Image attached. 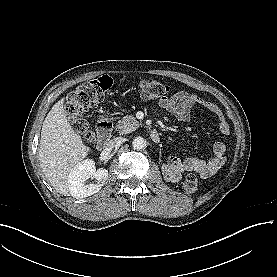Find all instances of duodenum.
Listing matches in <instances>:
<instances>
[{
    "label": "duodenum",
    "instance_id": "410a0bca",
    "mask_svg": "<svg viewBox=\"0 0 277 277\" xmlns=\"http://www.w3.org/2000/svg\"><path fill=\"white\" fill-rule=\"evenodd\" d=\"M112 133V122L103 119L100 120L97 125H96V134H97V144L99 146L104 145L111 137ZM150 138L154 141L157 142L160 139L159 132L154 129L150 132Z\"/></svg>",
    "mask_w": 277,
    "mask_h": 277
}]
</instances>
